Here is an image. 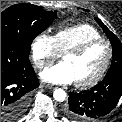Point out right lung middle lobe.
I'll return each instance as SVG.
<instances>
[{"label": "right lung middle lobe", "mask_w": 122, "mask_h": 122, "mask_svg": "<svg viewBox=\"0 0 122 122\" xmlns=\"http://www.w3.org/2000/svg\"><path fill=\"white\" fill-rule=\"evenodd\" d=\"M57 17V11H45L40 6L16 4L1 12V43H12L26 52L36 36Z\"/></svg>", "instance_id": "dd1d6c3e"}]
</instances>
